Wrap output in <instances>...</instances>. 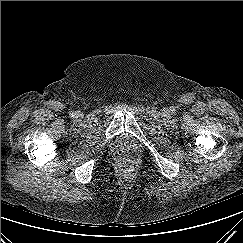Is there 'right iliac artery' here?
<instances>
[{
    "label": "right iliac artery",
    "mask_w": 243,
    "mask_h": 243,
    "mask_svg": "<svg viewBox=\"0 0 243 243\" xmlns=\"http://www.w3.org/2000/svg\"><path fill=\"white\" fill-rule=\"evenodd\" d=\"M69 115H70L71 117H74V116L76 115V113H75L74 111H71V112L69 113Z\"/></svg>",
    "instance_id": "obj_1"
}]
</instances>
